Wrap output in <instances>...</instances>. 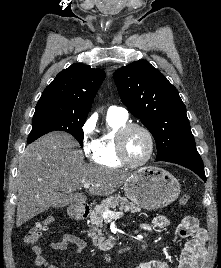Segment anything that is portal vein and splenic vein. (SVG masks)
Segmentation results:
<instances>
[{"mask_svg": "<svg viewBox=\"0 0 221 268\" xmlns=\"http://www.w3.org/2000/svg\"><path fill=\"white\" fill-rule=\"evenodd\" d=\"M83 187L85 189H88L90 187V184L89 183H84ZM123 215H124V213L122 211L115 212V211H111V210H105L102 213L103 219H108V220L109 219H116V218L122 217Z\"/></svg>", "mask_w": 221, "mask_h": 268, "instance_id": "obj_1", "label": "portal vein and splenic vein"}]
</instances>
